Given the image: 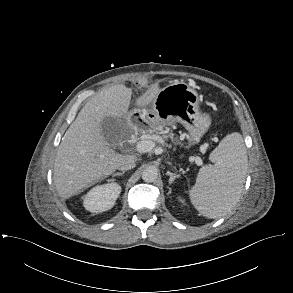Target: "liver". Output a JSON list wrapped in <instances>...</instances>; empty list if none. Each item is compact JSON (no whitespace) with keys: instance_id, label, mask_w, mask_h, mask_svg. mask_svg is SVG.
<instances>
[{"instance_id":"obj_1","label":"liver","mask_w":293,"mask_h":293,"mask_svg":"<svg viewBox=\"0 0 293 293\" xmlns=\"http://www.w3.org/2000/svg\"><path fill=\"white\" fill-rule=\"evenodd\" d=\"M160 90L157 84L149 87L137 97L135 105L146 107ZM131 95V88L114 85L100 91L80 110L63 136L55 158L53 179L60 197L68 199L80 193L111 175L124 162L126 155L116 153L105 139L102 121L113 117L120 122L128 113Z\"/></svg>"}]
</instances>
